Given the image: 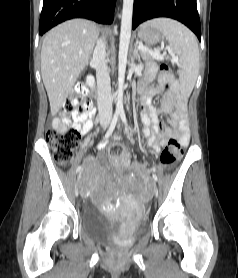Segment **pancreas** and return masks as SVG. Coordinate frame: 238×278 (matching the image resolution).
Returning <instances> with one entry per match:
<instances>
[{
  "mask_svg": "<svg viewBox=\"0 0 238 278\" xmlns=\"http://www.w3.org/2000/svg\"><path fill=\"white\" fill-rule=\"evenodd\" d=\"M148 50H151V51H155V50H152L149 46H145ZM141 55L144 59H155L148 51H142L141 52Z\"/></svg>",
  "mask_w": 238,
  "mask_h": 278,
  "instance_id": "obj_1",
  "label": "pancreas"
}]
</instances>
